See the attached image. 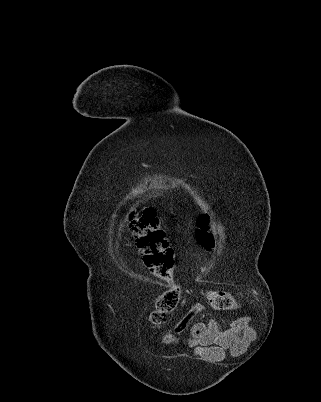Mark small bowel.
<instances>
[{"label":"small bowel","instance_id":"1","mask_svg":"<svg viewBox=\"0 0 321 402\" xmlns=\"http://www.w3.org/2000/svg\"><path fill=\"white\" fill-rule=\"evenodd\" d=\"M204 310L203 304L189 306L174 327L175 331H183L190 326V345L195 348L197 355L209 360H221L226 357L227 350L231 354H239L254 339L255 334L250 329V315H241L240 320H231V329L239 330L222 329L214 320L193 323L195 317ZM238 332L242 333V337H236Z\"/></svg>","mask_w":321,"mask_h":402}]
</instances>
